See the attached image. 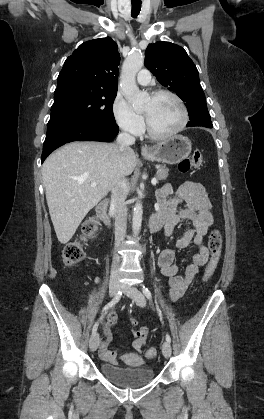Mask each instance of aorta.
Returning a JSON list of instances; mask_svg holds the SVG:
<instances>
[{
  "label": "aorta",
  "mask_w": 264,
  "mask_h": 419,
  "mask_svg": "<svg viewBox=\"0 0 264 419\" xmlns=\"http://www.w3.org/2000/svg\"><path fill=\"white\" fill-rule=\"evenodd\" d=\"M143 64L144 57L142 54L133 53L129 55L123 63L122 72L120 76V85L122 91L125 95V98L134 109L142 107L149 98L147 92L139 90L135 80L136 74L142 68ZM142 214V204L140 200L137 199L133 209L132 217V227L135 236L139 234L141 229Z\"/></svg>",
  "instance_id": "1"
}]
</instances>
